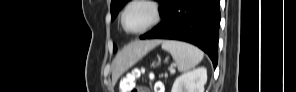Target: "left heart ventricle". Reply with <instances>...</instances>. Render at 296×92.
<instances>
[{
    "label": "left heart ventricle",
    "mask_w": 296,
    "mask_h": 92,
    "mask_svg": "<svg viewBox=\"0 0 296 92\" xmlns=\"http://www.w3.org/2000/svg\"><path fill=\"white\" fill-rule=\"evenodd\" d=\"M152 19L151 9L144 4L131 6L125 15V25L128 30L135 31L145 27Z\"/></svg>",
    "instance_id": "1"
}]
</instances>
